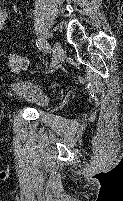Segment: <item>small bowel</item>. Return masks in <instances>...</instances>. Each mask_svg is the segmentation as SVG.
<instances>
[{
	"mask_svg": "<svg viewBox=\"0 0 123 201\" xmlns=\"http://www.w3.org/2000/svg\"><path fill=\"white\" fill-rule=\"evenodd\" d=\"M9 14L8 11L0 6V31L3 30L7 20H8Z\"/></svg>",
	"mask_w": 123,
	"mask_h": 201,
	"instance_id": "obj_1",
	"label": "small bowel"
}]
</instances>
